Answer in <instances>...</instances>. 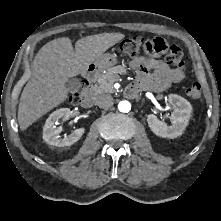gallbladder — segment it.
<instances>
[{
	"label": "gallbladder",
	"mask_w": 221,
	"mask_h": 221,
	"mask_svg": "<svg viewBox=\"0 0 221 221\" xmlns=\"http://www.w3.org/2000/svg\"><path fill=\"white\" fill-rule=\"evenodd\" d=\"M66 87L68 90L76 89L78 87V79L76 78H69Z\"/></svg>",
	"instance_id": "bac80fb5"
}]
</instances>
